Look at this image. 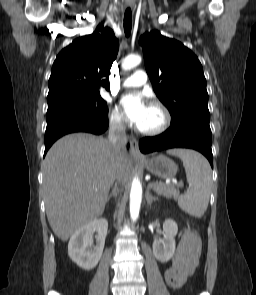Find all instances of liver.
Here are the masks:
<instances>
[{
  "mask_svg": "<svg viewBox=\"0 0 256 295\" xmlns=\"http://www.w3.org/2000/svg\"><path fill=\"white\" fill-rule=\"evenodd\" d=\"M42 171L50 227L59 239L67 241L103 214L114 172L120 182L128 179L129 157L123 150L116 162L105 138L74 133L53 144Z\"/></svg>",
  "mask_w": 256,
  "mask_h": 295,
  "instance_id": "obj_1",
  "label": "liver"
}]
</instances>
